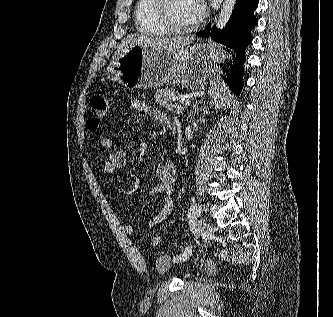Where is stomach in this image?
I'll return each mask as SVG.
<instances>
[{
	"instance_id": "obj_1",
	"label": "stomach",
	"mask_w": 333,
	"mask_h": 317,
	"mask_svg": "<svg viewBox=\"0 0 333 317\" xmlns=\"http://www.w3.org/2000/svg\"><path fill=\"white\" fill-rule=\"evenodd\" d=\"M225 49L195 43L177 55L154 47L127 45L107 67L111 80L128 89L158 88L164 84H181L197 90L205 85L212 63L226 62ZM208 88H225V81H208Z\"/></svg>"
}]
</instances>
